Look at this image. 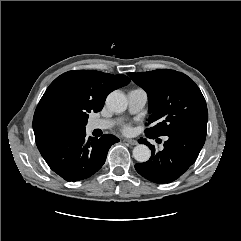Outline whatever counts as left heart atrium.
<instances>
[{
	"label": "left heart atrium",
	"mask_w": 241,
	"mask_h": 241,
	"mask_svg": "<svg viewBox=\"0 0 241 241\" xmlns=\"http://www.w3.org/2000/svg\"><path fill=\"white\" fill-rule=\"evenodd\" d=\"M122 130L125 133H130L131 132V127L129 125H125V126H123Z\"/></svg>",
	"instance_id": "left-heart-atrium-1"
}]
</instances>
